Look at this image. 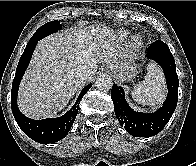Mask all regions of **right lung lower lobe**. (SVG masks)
I'll return each mask as SVG.
<instances>
[{
  "instance_id": "1",
  "label": "right lung lower lobe",
  "mask_w": 196,
  "mask_h": 166,
  "mask_svg": "<svg viewBox=\"0 0 196 166\" xmlns=\"http://www.w3.org/2000/svg\"><path fill=\"white\" fill-rule=\"evenodd\" d=\"M37 42L28 43L19 60L12 84L11 108L18 126L28 137L41 144L54 143L63 139L70 131L78 113L80 100L92 84H88L82 89L74 106L61 117L33 120L23 115L17 107V93L21 78L28 67Z\"/></svg>"
}]
</instances>
